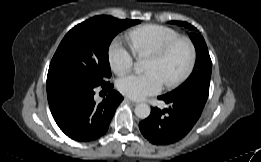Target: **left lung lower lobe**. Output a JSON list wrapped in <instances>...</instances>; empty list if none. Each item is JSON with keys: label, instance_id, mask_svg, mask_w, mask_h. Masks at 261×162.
Wrapping results in <instances>:
<instances>
[{"label": "left lung lower lobe", "instance_id": "left-lung-lower-lobe-1", "mask_svg": "<svg viewBox=\"0 0 261 162\" xmlns=\"http://www.w3.org/2000/svg\"><path fill=\"white\" fill-rule=\"evenodd\" d=\"M172 107L152 108L148 118L139 123L143 136L152 144L168 145L187 135L198 121L207 97L190 91L158 97Z\"/></svg>", "mask_w": 261, "mask_h": 162}]
</instances>
